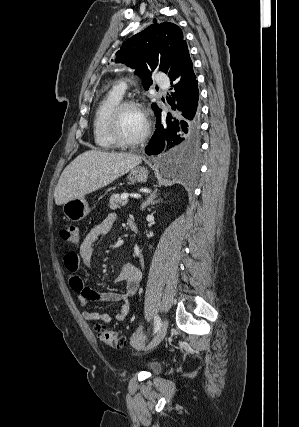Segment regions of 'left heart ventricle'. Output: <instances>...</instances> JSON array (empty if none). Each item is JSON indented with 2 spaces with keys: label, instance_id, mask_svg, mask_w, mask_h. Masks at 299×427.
<instances>
[{
  "label": "left heart ventricle",
  "instance_id": "left-heart-ventricle-1",
  "mask_svg": "<svg viewBox=\"0 0 299 427\" xmlns=\"http://www.w3.org/2000/svg\"><path fill=\"white\" fill-rule=\"evenodd\" d=\"M145 129L144 115L137 109L126 108L119 118V131L128 140L137 138Z\"/></svg>",
  "mask_w": 299,
  "mask_h": 427
}]
</instances>
